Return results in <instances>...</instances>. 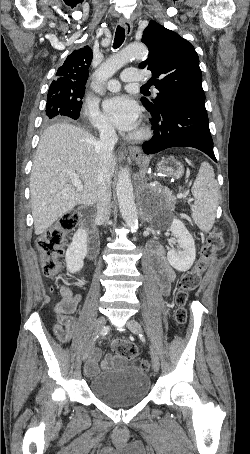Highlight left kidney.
Listing matches in <instances>:
<instances>
[{
	"label": "left kidney",
	"instance_id": "left-kidney-1",
	"mask_svg": "<svg viewBox=\"0 0 250 454\" xmlns=\"http://www.w3.org/2000/svg\"><path fill=\"white\" fill-rule=\"evenodd\" d=\"M170 231L176 238L177 248L173 246L167 253L170 265L177 271L185 272L191 268L195 261L196 249L192 235L186 229L185 224L174 218L170 225Z\"/></svg>",
	"mask_w": 250,
	"mask_h": 454
}]
</instances>
